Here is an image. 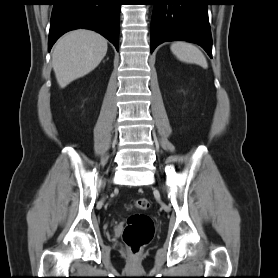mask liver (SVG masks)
I'll list each match as a JSON object with an SVG mask.
<instances>
[{
  "instance_id": "obj_1",
  "label": "liver",
  "mask_w": 278,
  "mask_h": 278,
  "mask_svg": "<svg viewBox=\"0 0 278 278\" xmlns=\"http://www.w3.org/2000/svg\"><path fill=\"white\" fill-rule=\"evenodd\" d=\"M107 40L86 29L70 31L55 44L52 66L57 82L65 88L94 70L107 53Z\"/></svg>"
}]
</instances>
